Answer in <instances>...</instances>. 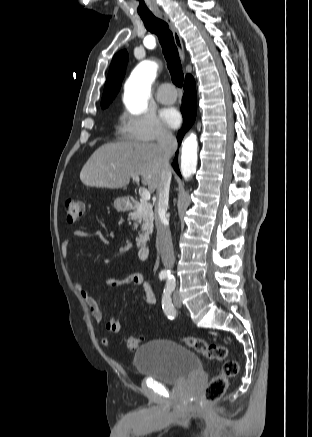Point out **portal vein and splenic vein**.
<instances>
[{"instance_id":"obj_1","label":"portal vein and splenic vein","mask_w":312,"mask_h":437,"mask_svg":"<svg viewBox=\"0 0 312 437\" xmlns=\"http://www.w3.org/2000/svg\"><path fill=\"white\" fill-rule=\"evenodd\" d=\"M132 179L135 182L139 183L140 179H139L138 175H132ZM139 194H140L142 200H144V201L150 200V197H151L150 192L146 188H143V187L139 188Z\"/></svg>"}]
</instances>
